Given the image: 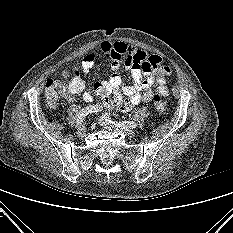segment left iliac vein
<instances>
[{
    "mask_svg": "<svg viewBox=\"0 0 233 233\" xmlns=\"http://www.w3.org/2000/svg\"><path fill=\"white\" fill-rule=\"evenodd\" d=\"M98 121L105 128L113 129L115 131L122 132V133H124L126 135H129V136H134L135 135L134 130H132L131 128H124L122 126H118L117 124L109 123V122L105 121L103 118L98 119Z\"/></svg>",
    "mask_w": 233,
    "mask_h": 233,
    "instance_id": "obj_1",
    "label": "left iliac vein"
}]
</instances>
